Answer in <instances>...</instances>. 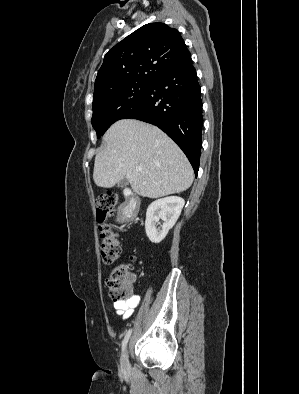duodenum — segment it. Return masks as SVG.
I'll use <instances>...</instances> for the list:
<instances>
[{"mask_svg":"<svg viewBox=\"0 0 299 394\" xmlns=\"http://www.w3.org/2000/svg\"><path fill=\"white\" fill-rule=\"evenodd\" d=\"M140 204L137 197L131 193L127 194L126 202L122 207L123 220L130 221L137 215Z\"/></svg>","mask_w":299,"mask_h":394,"instance_id":"duodenum-1","label":"duodenum"}]
</instances>
